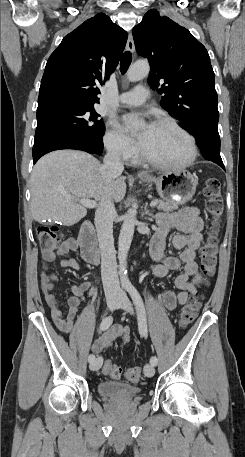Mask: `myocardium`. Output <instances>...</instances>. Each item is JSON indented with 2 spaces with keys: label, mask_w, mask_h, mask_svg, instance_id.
Wrapping results in <instances>:
<instances>
[{
  "label": "myocardium",
  "mask_w": 245,
  "mask_h": 457,
  "mask_svg": "<svg viewBox=\"0 0 245 457\" xmlns=\"http://www.w3.org/2000/svg\"><path fill=\"white\" fill-rule=\"evenodd\" d=\"M156 127H167L174 129L178 132H180L188 141V154L187 157L178 163H173V162H168V161H162L155 159L145 153L140 152L141 158L148 163L151 166L161 168V169H169V170H176V169H183L188 167L189 165L192 164L196 157V146H195V140L193 136L186 131L184 128H182L180 125H178L176 122L169 120V119H162L159 121L156 125Z\"/></svg>",
  "instance_id": "1"
}]
</instances>
